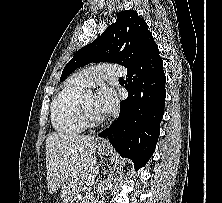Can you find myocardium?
Masks as SVG:
<instances>
[{"label": "myocardium", "mask_w": 222, "mask_h": 203, "mask_svg": "<svg viewBox=\"0 0 222 203\" xmlns=\"http://www.w3.org/2000/svg\"><path fill=\"white\" fill-rule=\"evenodd\" d=\"M84 97L85 96L82 95L80 102H79V112H80V116H81L83 123L88 127H95V126L100 125L104 119L102 117L94 118L88 113V111L85 107Z\"/></svg>", "instance_id": "obj_1"}]
</instances>
